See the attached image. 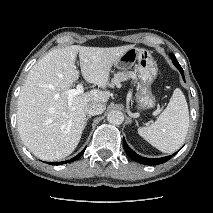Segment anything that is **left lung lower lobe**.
Returning a JSON list of instances; mask_svg holds the SVG:
<instances>
[{"instance_id": "left-lung-lower-lobe-1", "label": "left lung lower lobe", "mask_w": 213, "mask_h": 213, "mask_svg": "<svg viewBox=\"0 0 213 213\" xmlns=\"http://www.w3.org/2000/svg\"><path fill=\"white\" fill-rule=\"evenodd\" d=\"M178 70L180 71V73L182 74L183 80L185 81L184 78V72L182 67L178 68ZM123 146L125 148V151L127 153V155L134 161L142 163V164H146V165H157V164H162L165 163L166 161H168L169 159H171L176 153L166 156V157H162V158H145L142 157L140 155H138L137 153H135L126 143L125 139L123 138Z\"/></svg>"}]
</instances>
